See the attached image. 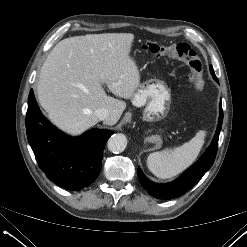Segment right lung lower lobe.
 Listing matches in <instances>:
<instances>
[{"label":"right lung lower lobe","mask_w":247,"mask_h":247,"mask_svg":"<svg viewBox=\"0 0 247 247\" xmlns=\"http://www.w3.org/2000/svg\"><path fill=\"white\" fill-rule=\"evenodd\" d=\"M26 132L39 167L49 180L71 191L95 181L101 170L103 150L113 131L94 129L72 138L42 115L31 90L26 113Z\"/></svg>","instance_id":"obj_1"}]
</instances>
